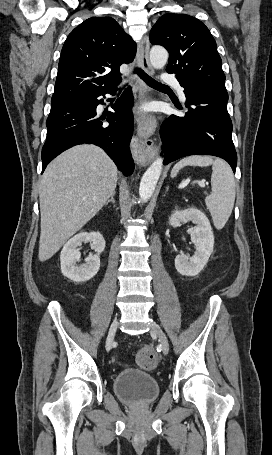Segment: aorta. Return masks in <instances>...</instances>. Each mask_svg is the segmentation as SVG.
<instances>
[{"instance_id":"762f6f07","label":"aorta","mask_w":272,"mask_h":455,"mask_svg":"<svg viewBox=\"0 0 272 455\" xmlns=\"http://www.w3.org/2000/svg\"><path fill=\"white\" fill-rule=\"evenodd\" d=\"M168 61V52L160 46L152 47L150 51V62L155 69H161ZM163 159L157 158L144 173L139 187L140 199L148 201L155 190L156 184L161 175Z\"/></svg>"}]
</instances>
